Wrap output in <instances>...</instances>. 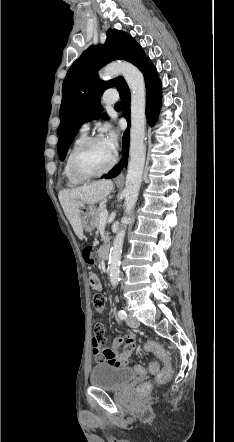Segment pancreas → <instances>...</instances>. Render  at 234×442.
<instances>
[{"instance_id":"obj_1","label":"pancreas","mask_w":234,"mask_h":442,"mask_svg":"<svg viewBox=\"0 0 234 442\" xmlns=\"http://www.w3.org/2000/svg\"><path fill=\"white\" fill-rule=\"evenodd\" d=\"M105 210V207L100 206L96 212H95V216H94V221H95V226L98 228L99 224H100V214ZM109 241V234L108 232L105 233V243H107Z\"/></svg>"}]
</instances>
